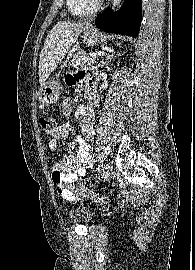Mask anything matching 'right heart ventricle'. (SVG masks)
Segmentation results:
<instances>
[{
  "instance_id": "1",
  "label": "right heart ventricle",
  "mask_w": 195,
  "mask_h": 270,
  "mask_svg": "<svg viewBox=\"0 0 195 270\" xmlns=\"http://www.w3.org/2000/svg\"><path fill=\"white\" fill-rule=\"evenodd\" d=\"M66 4L70 13L75 17H86L96 11L91 0H66Z\"/></svg>"
}]
</instances>
